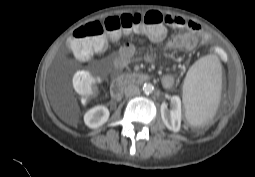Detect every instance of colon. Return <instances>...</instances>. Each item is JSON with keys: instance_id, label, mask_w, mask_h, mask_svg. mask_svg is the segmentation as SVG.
<instances>
[{"instance_id": "obj_1", "label": "colon", "mask_w": 255, "mask_h": 177, "mask_svg": "<svg viewBox=\"0 0 255 177\" xmlns=\"http://www.w3.org/2000/svg\"><path fill=\"white\" fill-rule=\"evenodd\" d=\"M165 25L166 17L157 11L113 16L78 28L69 40V49L77 58L86 60L95 52L103 51L109 42H115L132 33L159 39L164 33ZM101 83L99 75L86 69L77 71L73 78L75 91L86 102L93 101Z\"/></svg>"}]
</instances>
